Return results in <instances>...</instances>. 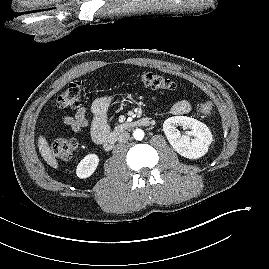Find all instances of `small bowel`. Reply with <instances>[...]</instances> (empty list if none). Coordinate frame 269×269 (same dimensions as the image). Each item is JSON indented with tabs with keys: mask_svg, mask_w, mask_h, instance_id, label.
<instances>
[{
	"mask_svg": "<svg viewBox=\"0 0 269 269\" xmlns=\"http://www.w3.org/2000/svg\"><path fill=\"white\" fill-rule=\"evenodd\" d=\"M110 98L103 96L97 98L92 106V121L90 124L91 135L95 142L102 143L109 132L107 122V111L110 105ZM191 109L190 103L187 100L181 99L175 102L172 106L174 115H185ZM87 109L81 106L77 109L74 116H64V123L75 132H81L89 126V121L86 117Z\"/></svg>",
	"mask_w": 269,
	"mask_h": 269,
	"instance_id": "c3829d8e",
	"label": "small bowel"
}]
</instances>
